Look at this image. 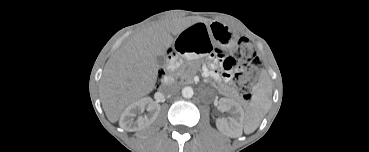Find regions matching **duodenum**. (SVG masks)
Listing matches in <instances>:
<instances>
[{
	"mask_svg": "<svg viewBox=\"0 0 369 152\" xmlns=\"http://www.w3.org/2000/svg\"><path fill=\"white\" fill-rule=\"evenodd\" d=\"M171 72H172V67H169L165 74H164V77H163V80L162 82L165 83V84H169L171 82Z\"/></svg>",
	"mask_w": 369,
	"mask_h": 152,
	"instance_id": "duodenum-1",
	"label": "duodenum"
}]
</instances>
